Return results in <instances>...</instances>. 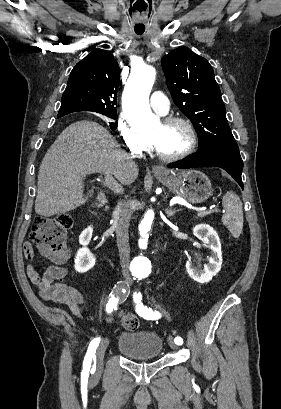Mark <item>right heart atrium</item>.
Wrapping results in <instances>:
<instances>
[{
  "instance_id": "right-heart-atrium-1",
  "label": "right heart atrium",
  "mask_w": 281,
  "mask_h": 409,
  "mask_svg": "<svg viewBox=\"0 0 281 409\" xmlns=\"http://www.w3.org/2000/svg\"><path fill=\"white\" fill-rule=\"evenodd\" d=\"M141 116L122 115L121 111L116 121V129L121 136L123 145L132 151H137L145 145L144 139L138 135Z\"/></svg>"
}]
</instances>
